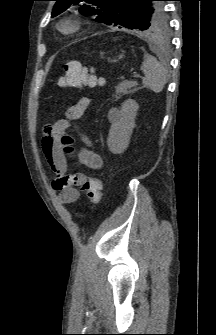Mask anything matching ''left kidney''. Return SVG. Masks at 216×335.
I'll list each match as a JSON object with an SVG mask.
<instances>
[{"instance_id": "obj_1", "label": "left kidney", "mask_w": 216, "mask_h": 335, "mask_svg": "<svg viewBox=\"0 0 216 335\" xmlns=\"http://www.w3.org/2000/svg\"><path fill=\"white\" fill-rule=\"evenodd\" d=\"M138 109L139 105L133 99L122 103L120 113L112 123L107 138L108 148L113 154H122L127 149Z\"/></svg>"}]
</instances>
